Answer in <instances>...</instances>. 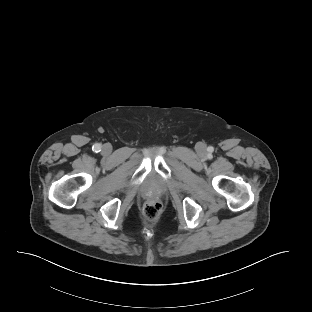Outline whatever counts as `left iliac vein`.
Instances as JSON below:
<instances>
[{
  "instance_id": "left-iliac-vein-1",
  "label": "left iliac vein",
  "mask_w": 312,
  "mask_h": 312,
  "mask_svg": "<svg viewBox=\"0 0 312 312\" xmlns=\"http://www.w3.org/2000/svg\"><path fill=\"white\" fill-rule=\"evenodd\" d=\"M198 150H199V153H203L204 152V147L200 146Z\"/></svg>"
}]
</instances>
